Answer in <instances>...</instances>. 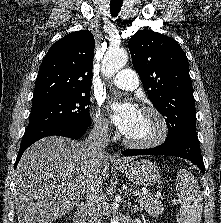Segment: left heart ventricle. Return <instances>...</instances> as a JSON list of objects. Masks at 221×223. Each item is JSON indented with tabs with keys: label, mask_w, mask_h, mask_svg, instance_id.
Here are the masks:
<instances>
[{
	"label": "left heart ventricle",
	"mask_w": 221,
	"mask_h": 223,
	"mask_svg": "<svg viewBox=\"0 0 221 223\" xmlns=\"http://www.w3.org/2000/svg\"><path fill=\"white\" fill-rule=\"evenodd\" d=\"M159 131L157 119L147 113H139V116L126 136L135 141H144L154 137Z\"/></svg>",
	"instance_id": "b2bd125f"
}]
</instances>
